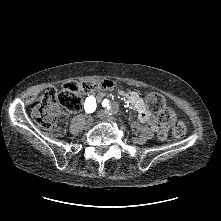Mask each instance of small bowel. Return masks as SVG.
<instances>
[{
  "instance_id": "c3829d8e",
  "label": "small bowel",
  "mask_w": 221,
  "mask_h": 221,
  "mask_svg": "<svg viewBox=\"0 0 221 221\" xmlns=\"http://www.w3.org/2000/svg\"><path fill=\"white\" fill-rule=\"evenodd\" d=\"M122 94L126 97L127 101L138 111L139 120L143 123H148L152 130L157 131L159 128V123L156 117L148 112L145 103L139 97V95L134 91L123 92ZM97 98L100 100V96Z\"/></svg>"
}]
</instances>
